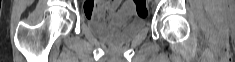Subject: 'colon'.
Instances as JSON below:
<instances>
[{"label":"colon","mask_w":235,"mask_h":62,"mask_svg":"<svg viewBox=\"0 0 235 62\" xmlns=\"http://www.w3.org/2000/svg\"><path fill=\"white\" fill-rule=\"evenodd\" d=\"M136 12L142 16L147 15V2L146 0H134ZM86 16L90 19H96L107 22L111 16V10L107 7L106 3L95 2L85 10Z\"/></svg>","instance_id":"obj_1"}]
</instances>
